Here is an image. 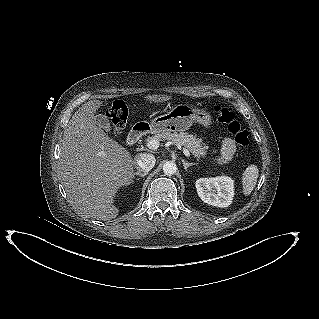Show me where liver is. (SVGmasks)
<instances>
[{"mask_svg": "<svg viewBox=\"0 0 319 319\" xmlns=\"http://www.w3.org/2000/svg\"><path fill=\"white\" fill-rule=\"evenodd\" d=\"M155 103L171 99L148 95ZM103 102L91 100L79 108L67 124L61 143V180L77 214L102 221L117 217L114 205L118 189L132 183L136 161L128 150L96 126L95 113Z\"/></svg>", "mask_w": 319, "mask_h": 319, "instance_id": "obj_1", "label": "liver"}]
</instances>
